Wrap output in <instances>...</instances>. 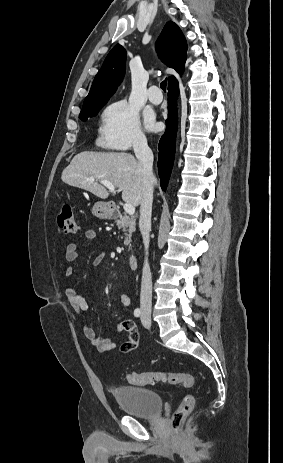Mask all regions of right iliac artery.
Wrapping results in <instances>:
<instances>
[{"label":"right iliac artery","mask_w":283,"mask_h":463,"mask_svg":"<svg viewBox=\"0 0 283 463\" xmlns=\"http://www.w3.org/2000/svg\"><path fill=\"white\" fill-rule=\"evenodd\" d=\"M140 315H141V310H140L139 308H136V309L134 310V316H135V317H139Z\"/></svg>","instance_id":"82829eb1"}]
</instances>
